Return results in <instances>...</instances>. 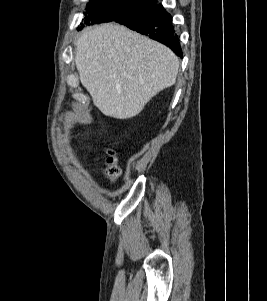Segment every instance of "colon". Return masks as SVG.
Segmentation results:
<instances>
[{"label":"colon","instance_id":"obj_1","mask_svg":"<svg viewBox=\"0 0 267 301\" xmlns=\"http://www.w3.org/2000/svg\"><path fill=\"white\" fill-rule=\"evenodd\" d=\"M105 172L112 181H114L121 173L113 150L108 151V155L105 161Z\"/></svg>","mask_w":267,"mask_h":301}]
</instances>
